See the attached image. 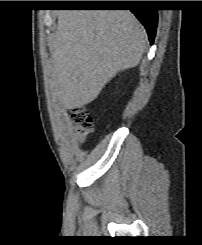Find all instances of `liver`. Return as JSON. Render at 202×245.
<instances>
[{"label":"liver","mask_w":202,"mask_h":245,"mask_svg":"<svg viewBox=\"0 0 202 245\" xmlns=\"http://www.w3.org/2000/svg\"><path fill=\"white\" fill-rule=\"evenodd\" d=\"M147 35L128 10H64L51 39L55 93L66 109L94 101L121 70L139 64Z\"/></svg>","instance_id":"1"}]
</instances>
